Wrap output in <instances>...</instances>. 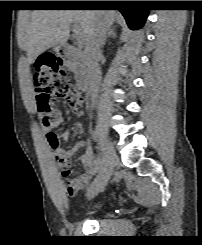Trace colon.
Segmentation results:
<instances>
[{"label":"colon","instance_id":"obj_1","mask_svg":"<svg viewBox=\"0 0 202 245\" xmlns=\"http://www.w3.org/2000/svg\"><path fill=\"white\" fill-rule=\"evenodd\" d=\"M35 105L44 125L52 123L51 111L54 97L63 98L72 112L81 107L80 95L75 87L66 81V72L61 60L53 54L43 56L34 64L33 70ZM54 153L62 150L55 133L48 141Z\"/></svg>","mask_w":202,"mask_h":245}]
</instances>
